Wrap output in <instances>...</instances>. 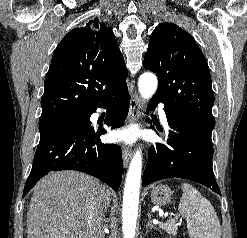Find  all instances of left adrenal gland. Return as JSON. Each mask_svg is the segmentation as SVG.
Instances as JSON below:
<instances>
[{
  "instance_id": "a2214340",
  "label": "left adrenal gland",
  "mask_w": 247,
  "mask_h": 238,
  "mask_svg": "<svg viewBox=\"0 0 247 238\" xmlns=\"http://www.w3.org/2000/svg\"><path fill=\"white\" fill-rule=\"evenodd\" d=\"M149 229H150V230H152V229L158 230V229L152 224L151 215H150V214H148V222H147V224H146V230L149 231Z\"/></svg>"
}]
</instances>
